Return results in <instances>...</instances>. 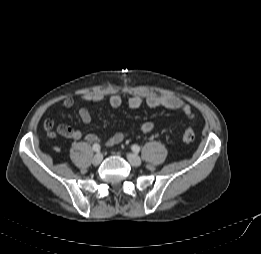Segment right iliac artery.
Instances as JSON below:
<instances>
[{
    "mask_svg": "<svg viewBox=\"0 0 261 254\" xmlns=\"http://www.w3.org/2000/svg\"><path fill=\"white\" fill-rule=\"evenodd\" d=\"M100 145L99 144H94L93 145V150L96 151V152H99L100 151Z\"/></svg>",
    "mask_w": 261,
    "mask_h": 254,
    "instance_id": "1",
    "label": "right iliac artery"
}]
</instances>
